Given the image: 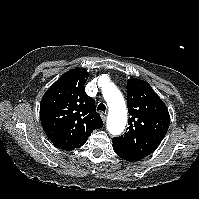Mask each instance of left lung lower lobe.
I'll list each match as a JSON object with an SVG mask.
<instances>
[{
	"label": "left lung lower lobe",
	"instance_id": "obj_1",
	"mask_svg": "<svg viewBox=\"0 0 199 199\" xmlns=\"http://www.w3.org/2000/svg\"><path fill=\"white\" fill-rule=\"evenodd\" d=\"M113 149L118 156H120L121 158H123L127 161L136 162V161L143 159V157L132 153L131 151L123 148L122 146H120L116 143H113Z\"/></svg>",
	"mask_w": 199,
	"mask_h": 199
}]
</instances>
